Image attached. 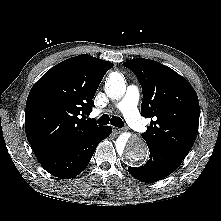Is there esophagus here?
Returning a JSON list of instances; mask_svg holds the SVG:
<instances>
[{"label": "esophagus", "mask_w": 221, "mask_h": 221, "mask_svg": "<svg viewBox=\"0 0 221 221\" xmlns=\"http://www.w3.org/2000/svg\"><path fill=\"white\" fill-rule=\"evenodd\" d=\"M113 132H114L115 134H119V133L122 132V129H120V128H113Z\"/></svg>", "instance_id": "esophagus-1"}]
</instances>
